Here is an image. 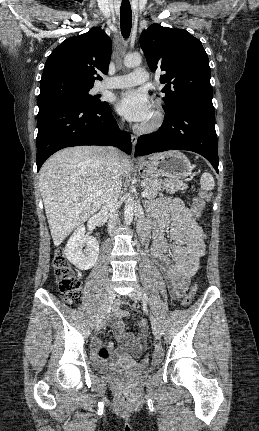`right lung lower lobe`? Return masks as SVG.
<instances>
[{
	"label": "right lung lower lobe",
	"mask_w": 259,
	"mask_h": 431,
	"mask_svg": "<svg viewBox=\"0 0 259 431\" xmlns=\"http://www.w3.org/2000/svg\"><path fill=\"white\" fill-rule=\"evenodd\" d=\"M77 145H113L131 153V137L119 132L108 104L94 107L58 101L39 107L37 171L56 151Z\"/></svg>",
	"instance_id": "1"
}]
</instances>
